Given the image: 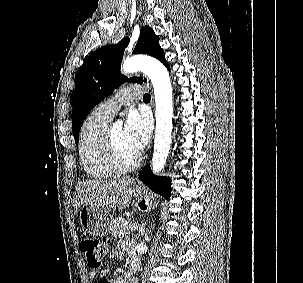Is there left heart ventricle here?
Returning a JSON list of instances; mask_svg holds the SVG:
<instances>
[{
  "label": "left heart ventricle",
  "instance_id": "obj_1",
  "mask_svg": "<svg viewBox=\"0 0 303 283\" xmlns=\"http://www.w3.org/2000/svg\"><path fill=\"white\" fill-rule=\"evenodd\" d=\"M112 135L122 160L126 163L131 162L137 154L134 153L126 143L123 135V127L121 125H113Z\"/></svg>",
  "mask_w": 303,
  "mask_h": 283
}]
</instances>
